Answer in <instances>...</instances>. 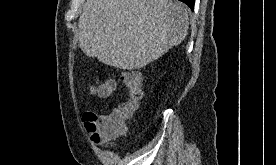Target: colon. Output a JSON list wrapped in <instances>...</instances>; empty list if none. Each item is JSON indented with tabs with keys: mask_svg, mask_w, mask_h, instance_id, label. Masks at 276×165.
I'll list each match as a JSON object with an SVG mask.
<instances>
[{
	"mask_svg": "<svg viewBox=\"0 0 276 165\" xmlns=\"http://www.w3.org/2000/svg\"><path fill=\"white\" fill-rule=\"evenodd\" d=\"M124 83L129 90V100L120 104L112 112L99 116L87 111L83 114V123L93 142L101 143L125 132L128 122L143 98L142 78L137 71H127ZM115 90V81L107 79L97 82L91 92L101 98L110 97Z\"/></svg>",
	"mask_w": 276,
	"mask_h": 165,
	"instance_id": "obj_1",
	"label": "colon"
}]
</instances>
